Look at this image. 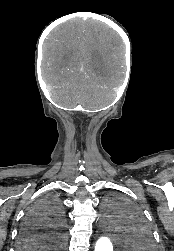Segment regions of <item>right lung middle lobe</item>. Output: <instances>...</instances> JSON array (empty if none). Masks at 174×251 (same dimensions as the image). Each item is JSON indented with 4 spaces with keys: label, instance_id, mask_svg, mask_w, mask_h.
<instances>
[{
    "label": "right lung middle lobe",
    "instance_id": "obj_1",
    "mask_svg": "<svg viewBox=\"0 0 174 251\" xmlns=\"http://www.w3.org/2000/svg\"><path fill=\"white\" fill-rule=\"evenodd\" d=\"M25 222L47 227L54 244L59 245L64 214L60 203L54 197L47 196L38 200L30 209Z\"/></svg>",
    "mask_w": 174,
    "mask_h": 251
}]
</instances>
